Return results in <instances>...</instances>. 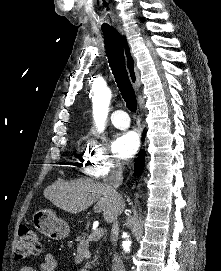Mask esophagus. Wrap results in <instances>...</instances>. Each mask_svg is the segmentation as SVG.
<instances>
[{
	"instance_id": "34e87169",
	"label": "esophagus",
	"mask_w": 221,
	"mask_h": 271,
	"mask_svg": "<svg viewBox=\"0 0 221 271\" xmlns=\"http://www.w3.org/2000/svg\"><path fill=\"white\" fill-rule=\"evenodd\" d=\"M118 32L120 33L122 40V47L124 50L126 69L128 72L129 79L133 87L136 89V91H138L141 84L139 79V73L136 66V60L132 53V48L130 46L128 36L122 27H118Z\"/></svg>"
}]
</instances>
